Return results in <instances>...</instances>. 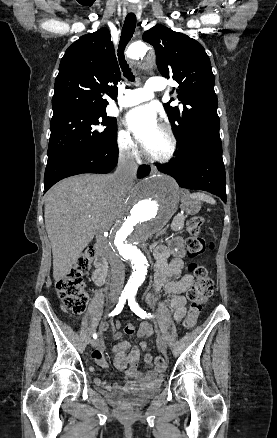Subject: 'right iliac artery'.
Instances as JSON below:
<instances>
[{
	"label": "right iliac artery",
	"mask_w": 277,
	"mask_h": 438,
	"mask_svg": "<svg viewBox=\"0 0 277 438\" xmlns=\"http://www.w3.org/2000/svg\"><path fill=\"white\" fill-rule=\"evenodd\" d=\"M127 298H128L127 295L122 294L119 298L118 304L116 305L115 309L109 314V316H115V315L119 314L122 311ZM93 338L94 339L97 338L96 333L93 334Z\"/></svg>",
	"instance_id": "82829eb1"
}]
</instances>
